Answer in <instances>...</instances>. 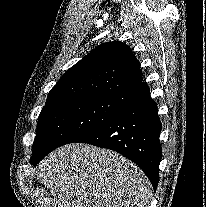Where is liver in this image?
Returning <instances> with one entry per match:
<instances>
[{"label":"liver","mask_w":206,"mask_h":207,"mask_svg":"<svg viewBox=\"0 0 206 207\" xmlns=\"http://www.w3.org/2000/svg\"><path fill=\"white\" fill-rule=\"evenodd\" d=\"M53 207H149L152 187L134 163L111 150L72 143L38 165Z\"/></svg>","instance_id":"1"}]
</instances>
